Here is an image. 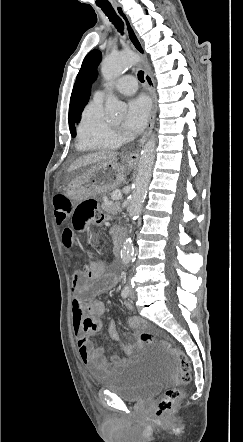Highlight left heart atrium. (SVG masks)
<instances>
[{"instance_id":"obj_1","label":"left heart atrium","mask_w":243,"mask_h":442,"mask_svg":"<svg viewBox=\"0 0 243 442\" xmlns=\"http://www.w3.org/2000/svg\"><path fill=\"white\" fill-rule=\"evenodd\" d=\"M150 112V103L144 96L129 101L124 126L128 131L138 132L146 125Z\"/></svg>"}]
</instances>
